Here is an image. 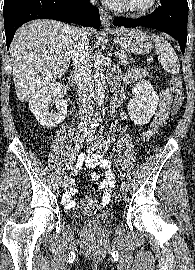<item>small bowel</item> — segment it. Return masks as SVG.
<instances>
[{
  "label": "small bowel",
  "mask_w": 195,
  "mask_h": 270,
  "mask_svg": "<svg viewBox=\"0 0 195 270\" xmlns=\"http://www.w3.org/2000/svg\"><path fill=\"white\" fill-rule=\"evenodd\" d=\"M143 75L140 71H134L128 76V82H131ZM123 95H117L114 100V105L117 106L123 100ZM172 102V94L169 90H162L160 92V101L159 108L155 114L153 121L150 124L149 129L143 134L144 138L150 137L160 125L167 119L170 111V105ZM84 164L89 169H94L95 167H99L103 171L104 179L101 182H96L99 180L100 175L97 172H94L91 175V178L94 183L91 185V189L93 192L97 193L99 191H103V195L101 198V204L107 205L111 199V189L115 185V173L111 168V163L107 159L103 157L102 154L88 152L82 155L77 163V166H81ZM76 189L74 187H70L66 194L64 195L63 201L67 208H72L75 205V201L72 196L75 194ZM93 200L91 198H85L86 203H91Z\"/></svg>",
  "instance_id": "small-bowel-1"
}]
</instances>
